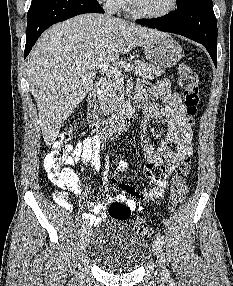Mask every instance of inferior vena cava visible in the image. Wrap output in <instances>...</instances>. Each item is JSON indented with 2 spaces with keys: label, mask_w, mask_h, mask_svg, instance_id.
<instances>
[{
  "label": "inferior vena cava",
  "mask_w": 233,
  "mask_h": 286,
  "mask_svg": "<svg viewBox=\"0 0 233 286\" xmlns=\"http://www.w3.org/2000/svg\"><path fill=\"white\" fill-rule=\"evenodd\" d=\"M107 87H108V83H107L106 79H101L98 92H99V99L101 101V111H102V113H104V115L106 113V105L104 102V97L106 94Z\"/></svg>",
  "instance_id": "obj_1"
}]
</instances>
